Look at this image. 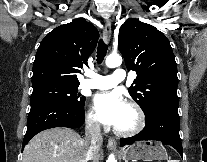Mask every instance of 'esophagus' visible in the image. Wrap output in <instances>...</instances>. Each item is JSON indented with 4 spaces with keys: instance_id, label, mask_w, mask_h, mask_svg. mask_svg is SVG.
I'll return each instance as SVG.
<instances>
[{
    "instance_id": "esophagus-1",
    "label": "esophagus",
    "mask_w": 207,
    "mask_h": 162,
    "mask_svg": "<svg viewBox=\"0 0 207 162\" xmlns=\"http://www.w3.org/2000/svg\"><path fill=\"white\" fill-rule=\"evenodd\" d=\"M104 41L107 43L111 38V22L109 20L106 21L104 27V34H103ZM109 149L116 150L117 149V142L113 138L108 139L107 143Z\"/></svg>"
}]
</instances>
